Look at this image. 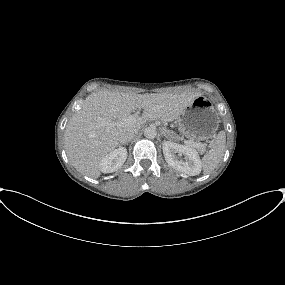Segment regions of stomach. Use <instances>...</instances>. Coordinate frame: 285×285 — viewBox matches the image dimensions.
<instances>
[{
    "label": "stomach",
    "mask_w": 285,
    "mask_h": 285,
    "mask_svg": "<svg viewBox=\"0 0 285 285\" xmlns=\"http://www.w3.org/2000/svg\"><path fill=\"white\" fill-rule=\"evenodd\" d=\"M219 116L213 103L204 96L195 98L178 116V130L193 140L211 138L219 127Z\"/></svg>",
    "instance_id": "1"
}]
</instances>
